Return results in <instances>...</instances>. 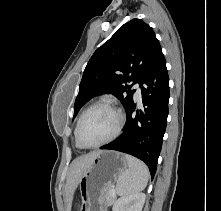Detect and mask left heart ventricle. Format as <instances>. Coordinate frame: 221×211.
<instances>
[{
  "mask_svg": "<svg viewBox=\"0 0 221 211\" xmlns=\"http://www.w3.org/2000/svg\"><path fill=\"white\" fill-rule=\"evenodd\" d=\"M116 124L117 117L112 110L106 107L94 108L83 120L81 140L88 145L101 142L114 132Z\"/></svg>",
  "mask_w": 221,
  "mask_h": 211,
  "instance_id": "b2bd125f",
  "label": "left heart ventricle"
}]
</instances>
